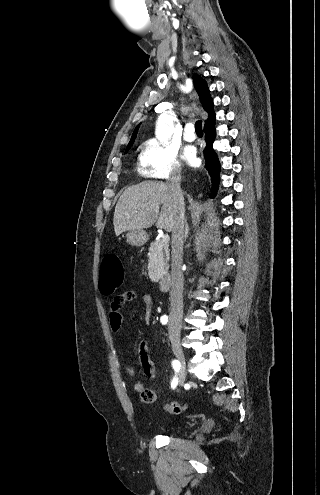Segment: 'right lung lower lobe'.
<instances>
[{
    "mask_svg": "<svg viewBox=\"0 0 320 495\" xmlns=\"http://www.w3.org/2000/svg\"><path fill=\"white\" fill-rule=\"evenodd\" d=\"M204 130H205V141H206V147L203 151L205 158V168L211 177V183H212L211 197H214L218 189L219 174H220L219 159L217 153L213 148V142L216 138L215 122L205 126Z\"/></svg>",
    "mask_w": 320,
    "mask_h": 495,
    "instance_id": "obj_1",
    "label": "right lung lower lobe"
}]
</instances>
